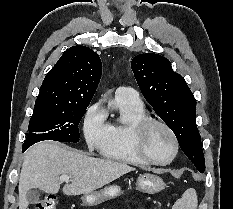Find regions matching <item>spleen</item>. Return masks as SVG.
I'll return each instance as SVG.
<instances>
[{"instance_id":"spleen-1","label":"spleen","mask_w":233,"mask_h":209,"mask_svg":"<svg viewBox=\"0 0 233 209\" xmlns=\"http://www.w3.org/2000/svg\"><path fill=\"white\" fill-rule=\"evenodd\" d=\"M198 199L195 189L190 188L184 192L182 198L176 201L173 209H197Z\"/></svg>"}]
</instances>
